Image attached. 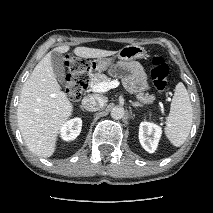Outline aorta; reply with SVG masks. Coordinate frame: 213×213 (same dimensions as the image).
Wrapping results in <instances>:
<instances>
[{
	"label": "aorta",
	"instance_id": "762f6f07",
	"mask_svg": "<svg viewBox=\"0 0 213 213\" xmlns=\"http://www.w3.org/2000/svg\"><path fill=\"white\" fill-rule=\"evenodd\" d=\"M124 114H125V110H124V108L121 107V106H115V107L111 110V117H112L113 119H116V120H117V119L123 118Z\"/></svg>",
	"mask_w": 213,
	"mask_h": 213
}]
</instances>
